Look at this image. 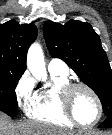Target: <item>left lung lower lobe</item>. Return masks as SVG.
I'll return each instance as SVG.
<instances>
[{"label": "left lung lower lobe", "instance_id": "0a47b994", "mask_svg": "<svg viewBox=\"0 0 112 135\" xmlns=\"http://www.w3.org/2000/svg\"><path fill=\"white\" fill-rule=\"evenodd\" d=\"M102 127L112 128V117L106 118V120L101 125H99V128H102Z\"/></svg>", "mask_w": 112, "mask_h": 135}]
</instances>
